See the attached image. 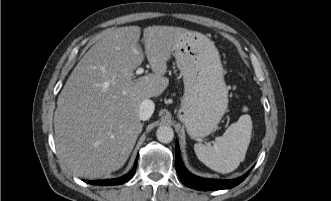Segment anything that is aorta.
<instances>
[{
	"label": "aorta",
	"mask_w": 331,
	"mask_h": 201,
	"mask_svg": "<svg viewBox=\"0 0 331 201\" xmlns=\"http://www.w3.org/2000/svg\"><path fill=\"white\" fill-rule=\"evenodd\" d=\"M156 136L161 143H170L174 138V132L170 126L162 125L157 129Z\"/></svg>",
	"instance_id": "1"
}]
</instances>
